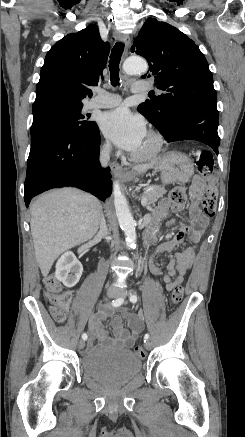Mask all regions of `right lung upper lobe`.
<instances>
[{"label": "right lung upper lobe", "mask_w": 245, "mask_h": 437, "mask_svg": "<svg viewBox=\"0 0 245 437\" xmlns=\"http://www.w3.org/2000/svg\"><path fill=\"white\" fill-rule=\"evenodd\" d=\"M110 46L103 42L98 27L90 24L85 29L68 34L47 53L36 86L32 107L52 102L82 104L96 86L106 66Z\"/></svg>", "instance_id": "1"}]
</instances>
